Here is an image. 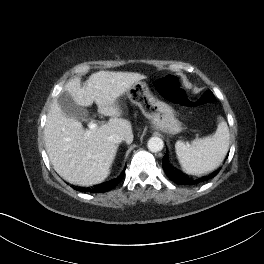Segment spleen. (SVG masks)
Wrapping results in <instances>:
<instances>
[{"label": "spleen", "instance_id": "spleen-1", "mask_svg": "<svg viewBox=\"0 0 264 264\" xmlns=\"http://www.w3.org/2000/svg\"><path fill=\"white\" fill-rule=\"evenodd\" d=\"M230 133L220 117L214 135L194 140L191 145L178 140L175 151L182 169L189 174H205L217 169L229 150Z\"/></svg>", "mask_w": 264, "mask_h": 264}]
</instances>
